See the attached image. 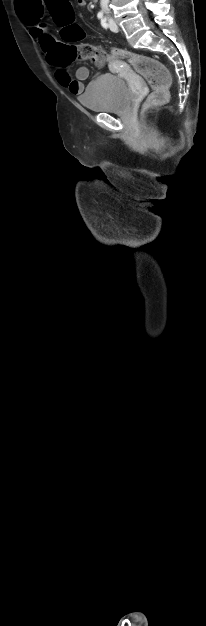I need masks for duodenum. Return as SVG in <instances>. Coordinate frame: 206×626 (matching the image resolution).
<instances>
[{"instance_id":"obj_1","label":"duodenum","mask_w":206,"mask_h":626,"mask_svg":"<svg viewBox=\"0 0 206 626\" xmlns=\"http://www.w3.org/2000/svg\"><path fill=\"white\" fill-rule=\"evenodd\" d=\"M92 2H97L98 0H91Z\"/></svg>"}]
</instances>
